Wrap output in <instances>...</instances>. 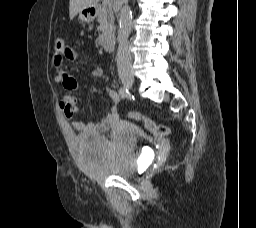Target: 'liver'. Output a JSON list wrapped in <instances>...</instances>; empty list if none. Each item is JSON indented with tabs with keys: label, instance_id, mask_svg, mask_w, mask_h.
Here are the masks:
<instances>
[{
	"label": "liver",
	"instance_id": "liver-1",
	"mask_svg": "<svg viewBox=\"0 0 256 228\" xmlns=\"http://www.w3.org/2000/svg\"><path fill=\"white\" fill-rule=\"evenodd\" d=\"M99 0H70L69 16L73 19L81 10L95 7Z\"/></svg>",
	"mask_w": 256,
	"mask_h": 228
}]
</instances>
